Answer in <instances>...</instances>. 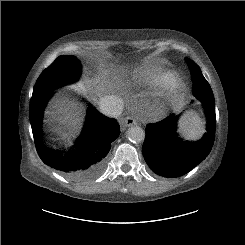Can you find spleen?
<instances>
[{"label": "spleen", "instance_id": "obj_1", "mask_svg": "<svg viewBox=\"0 0 245 245\" xmlns=\"http://www.w3.org/2000/svg\"><path fill=\"white\" fill-rule=\"evenodd\" d=\"M181 130L188 139H197L203 133V125L197 115L189 114L183 119Z\"/></svg>", "mask_w": 245, "mask_h": 245}]
</instances>
